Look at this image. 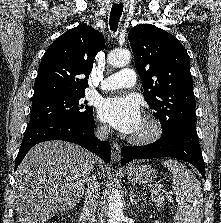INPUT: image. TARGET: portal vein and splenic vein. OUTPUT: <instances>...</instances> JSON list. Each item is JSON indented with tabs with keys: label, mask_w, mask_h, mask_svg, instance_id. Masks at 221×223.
<instances>
[{
	"label": "portal vein and splenic vein",
	"mask_w": 221,
	"mask_h": 223,
	"mask_svg": "<svg viewBox=\"0 0 221 223\" xmlns=\"http://www.w3.org/2000/svg\"><path fill=\"white\" fill-rule=\"evenodd\" d=\"M160 190H161V188H158V189H155V190H151V193L152 194L159 193Z\"/></svg>",
	"instance_id": "portal-vein-and-splenic-vein-1"
}]
</instances>
